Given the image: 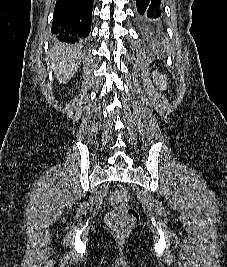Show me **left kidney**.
Segmentation results:
<instances>
[{
	"label": "left kidney",
	"instance_id": "obj_1",
	"mask_svg": "<svg viewBox=\"0 0 227 267\" xmlns=\"http://www.w3.org/2000/svg\"><path fill=\"white\" fill-rule=\"evenodd\" d=\"M153 79L156 85L159 86L160 90H165L167 87V79L157 71L153 72Z\"/></svg>",
	"mask_w": 227,
	"mask_h": 267
}]
</instances>
